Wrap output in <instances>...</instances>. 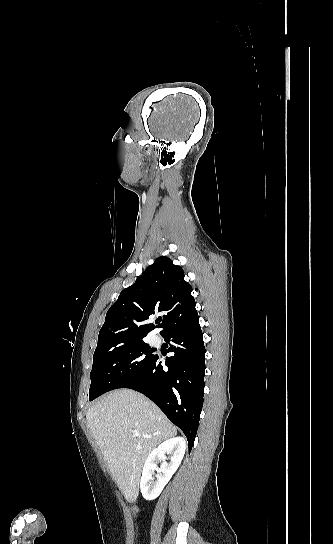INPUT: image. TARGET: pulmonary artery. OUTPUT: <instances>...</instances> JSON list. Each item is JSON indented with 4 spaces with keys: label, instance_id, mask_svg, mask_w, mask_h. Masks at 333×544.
<instances>
[{
    "label": "pulmonary artery",
    "instance_id": "1",
    "mask_svg": "<svg viewBox=\"0 0 333 544\" xmlns=\"http://www.w3.org/2000/svg\"><path fill=\"white\" fill-rule=\"evenodd\" d=\"M160 341H161V340H160L159 335L154 334V335L152 336V343H153L154 345H158V344L160 343Z\"/></svg>",
    "mask_w": 333,
    "mask_h": 544
}]
</instances>
